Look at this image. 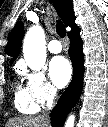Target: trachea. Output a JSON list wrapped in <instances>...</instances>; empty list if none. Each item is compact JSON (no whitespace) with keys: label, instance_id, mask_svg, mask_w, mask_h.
<instances>
[{"label":"trachea","instance_id":"1","mask_svg":"<svg viewBox=\"0 0 108 127\" xmlns=\"http://www.w3.org/2000/svg\"><path fill=\"white\" fill-rule=\"evenodd\" d=\"M56 31L61 38H64L66 36L65 25L59 20L57 21L56 24Z\"/></svg>","mask_w":108,"mask_h":127}]
</instances>
